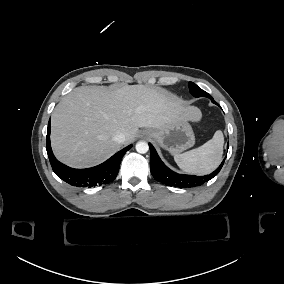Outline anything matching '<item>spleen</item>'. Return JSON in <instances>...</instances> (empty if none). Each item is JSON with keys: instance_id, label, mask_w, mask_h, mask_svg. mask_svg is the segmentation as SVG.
<instances>
[{"instance_id": "spleen-1", "label": "spleen", "mask_w": 284, "mask_h": 284, "mask_svg": "<svg viewBox=\"0 0 284 284\" xmlns=\"http://www.w3.org/2000/svg\"><path fill=\"white\" fill-rule=\"evenodd\" d=\"M224 136L217 130L212 139L202 146L174 155V160L184 172L206 175L214 171L222 161Z\"/></svg>"}]
</instances>
